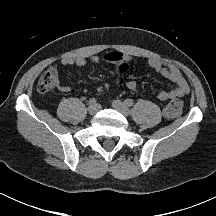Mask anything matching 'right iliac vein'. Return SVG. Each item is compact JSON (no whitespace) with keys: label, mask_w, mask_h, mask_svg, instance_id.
Returning <instances> with one entry per match:
<instances>
[{"label":"right iliac vein","mask_w":216,"mask_h":216,"mask_svg":"<svg viewBox=\"0 0 216 216\" xmlns=\"http://www.w3.org/2000/svg\"><path fill=\"white\" fill-rule=\"evenodd\" d=\"M99 111V106L97 104H90L88 107V112L91 115L96 114Z\"/></svg>","instance_id":"1"}]
</instances>
